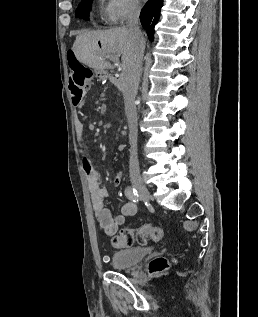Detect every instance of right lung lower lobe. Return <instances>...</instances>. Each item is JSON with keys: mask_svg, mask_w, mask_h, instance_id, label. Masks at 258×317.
<instances>
[{"mask_svg": "<svg viewBox=\"0 0 258 317\" xmlns=\"http://www.w3.org/2000/svg\"><path fill=\"white\" fill-rule=\"evenodd\" d=\"M162 5L163 0H149L141 11L140 21L150 41L154 39V26L158 22Z\"/></svg>", "mask_w": 258, "mask_h": 317, "instance_id": "right-lung-lower-lobe-1", "label": "right lung lower lobe"}]
</instances>
